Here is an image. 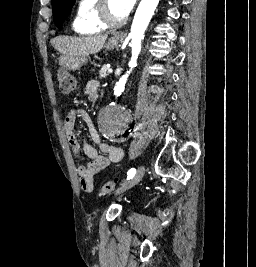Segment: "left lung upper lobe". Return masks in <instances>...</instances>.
<instances>
[{
  "label": "left lung upper lobe",
  "mask_w": 256,
  "mask_h": 267,
  "mask_svg": "<svg viewBox=\"0 0 256 267\" xmlns=\"http://www.w3.org/2000/svg\"><path fill=\"white\" fill-rule=\"evenodd\" d=\"M75 0H52V9L55 25L61 28V24L68 17Z\"/></svg>",
  "instance_id": "left-lung-upper-lobe-1"
}]
</instances>
